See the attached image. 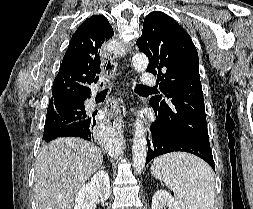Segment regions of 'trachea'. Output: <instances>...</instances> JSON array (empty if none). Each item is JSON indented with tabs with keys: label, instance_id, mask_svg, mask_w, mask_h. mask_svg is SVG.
<instances>
[{
	"label": "trachea",
	"instance_id": "1",
	"mask_svg": "<svg viewBox=\"0 0 253 209\" xmlns=\"http://www.w3.org/2000/svg\"><path fill=\"white\" fill-rule=\"evenodd\" d=\"M101 86H103V83H101ZM137 88H145L144 86L142 85H136Z\"/></svg>",
	"mask_w": 253,
	"mask_h": 209
}]
</instances>
